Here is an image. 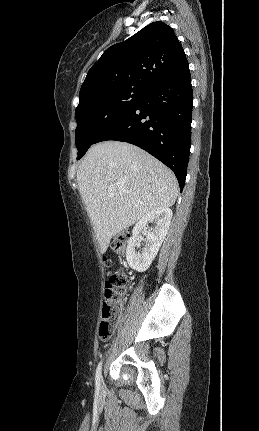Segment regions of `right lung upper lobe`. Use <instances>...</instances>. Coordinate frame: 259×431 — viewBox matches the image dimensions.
<instances>
[{
    "label": "right lung upper lobe",
    "mask_w": 259,
    "mask_h": 431,
    "mask_svg": "<svg viewBox=\"0 0 259 431\" xmlns=\"http://www.w3.org/2000/svg\"><path fill=\"white\" fill-rule=\"evenodd\" d=\"M188 66L173 29L161 21L153 22L102 54L82 84L79 103L95 94L122 87L147 90Z\"/></svg>",
    "instance_id": "1"
}]
</instances>
